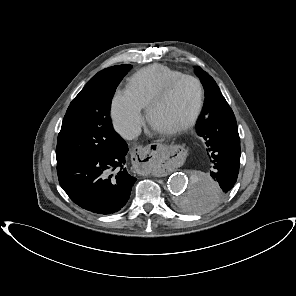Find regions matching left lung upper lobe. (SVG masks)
<instances>
[{"label": "left lung upper lobe", "instance_id": "obj_1", "mask_svg": "<svg viewBox=\"0 0 296 296\" xmlns=\"http://www.w3.org/2000/svg\"><path fill=\"white\" fill-rule=\"evenodd\" d=\"M195 73L200 78L203 84V87L205 89V103H204L203 111L196 124V132H197V127L200 124V122L203 121V118H205L216 105L224 101L225 98L222 96L214 79L208 73H206L199 66L195 67ZM185 208L187 210H194V209H189L188 207H185Z\"/></svg>", "mask_w": 296, "mask_h": 296}]
</instances>
